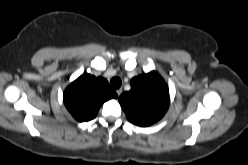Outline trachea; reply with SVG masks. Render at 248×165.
Returning a JSON list of instances; mask_svg holds the SVG:
<instances>
[{
    "label": "trachea",
    "instance_id": "obj_1",
    "mask_svg": "<svg viewBox=\"0 0 248 165\" xmlns=\"http://www.w3.org/2000/svg\"><path fill=\"white\" fill-rule=\"evenodd\" d=\"M110 84L113 89H119L122 84V81L119 77H113L110 81Z\"/></svg>",
    "mask_w": 248,
    "mask_h": 165
}]
</instances>
